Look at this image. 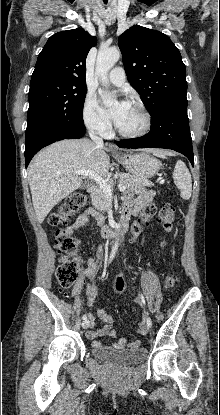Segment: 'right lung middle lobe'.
<instances>
[{
	"label": "right lung middle lobe",
	"mask_w": 220,
	"mask_h": 415,
	"mask_svg": "<svg viewBox=\"0 0 220 415\" xmlns=\"http://www.w3.org/2000/svg\"><path fill=\"white\" fill-rule=\"evenodd\" d=\"M86 85L56 79L30 82L26 141L45 130L84 126L83 105Z\"/></svg>",
	"instance_id": "obj_1"
}]
</instances>
